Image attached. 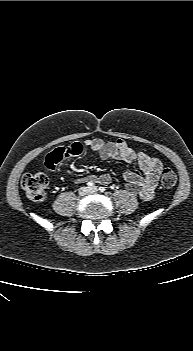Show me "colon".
Returning a JSON list of instances; mask_svg holds the SVG:
<instances>
[{
	"label": "colon",
	"mask_w": 193,
	"mask_h": 351,
	"mask_svg": "<svg viewBox=\"0 0 193 351\" xmlns=\"http://www.w3.org/2000/svg\"><path fill=\"white\" fill-rule=\"evenodd\" d=\"M160 182L163 187L172 188L177 183V175L172 169L166 168L162 171ZM47 185L48 178L43 172L27 173L21 179L26 195L37 201L44 199Z\"/></svg>",
	"instance_id": "obj_1"
}]
</instances>
